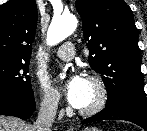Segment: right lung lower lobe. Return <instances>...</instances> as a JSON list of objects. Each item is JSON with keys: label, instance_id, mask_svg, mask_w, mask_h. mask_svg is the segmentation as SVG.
Masks as SVG:
<instances>
[{"label": "right lung lower lobe", "instance_id": "98d812e1", "mask_svg": "<svg viewBox=\"0 0 147 131\" xmlns=\"http://www.w3.org/2000/svg\"><path fill=\"white\" fill-rule=\"evenodd\" d=\"M35 110L34 95L22 97L0 93V115L28 119Z\"/></svg>", "mask_w": 147, "mask_h": 131}]
</instances>
